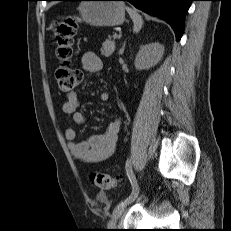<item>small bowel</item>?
<instances>
[{
	"instance_id": "c3829d8e",
	"label": "small bowel",
	"mask_w": 231,
	"mask_h": 231,
	"mask_svg": "<svg viewBox=\"0 0 231 231\" xmlns=\"http://www.w3.org/2000/svg\"><path fill=\"white\" fill-rule=\"evenodd\" d=\"M82 67L91 73H98L103 69V62L93 52H87L82 56ZM100 101L108 102L110 94L100 93ZM80 99L75 92L67 94L66 100L62 105L63 113L70 115L74 124L85 122V114L80 109ZM121 120L117 119L108 124L105 133L90 136L84 141H76L77 131L74 127H68L65 131V138L72 156L83 163H96L112 156L119 141Z\"/></svg>"
}]
</instances>
